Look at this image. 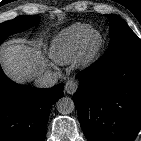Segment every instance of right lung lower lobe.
Listing matches in <instances>:
<instances>
[{"instance_id":"1","label":"right lung lower lobe","mask_w":141,"mask_h":141,"mask_svg":"<svg viewBox=\"0 0 141 141\" xmlns=\"http://www.w3.org/2000/svg\"><path fill=\"white\" fill-rule=\"evenodd\" d=\"M63 87L18 85L0 67V141H44L50 108L63 96Z\"/></svg>"}]
</instances>
